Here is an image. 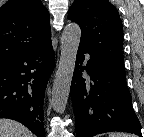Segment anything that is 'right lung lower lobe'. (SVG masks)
I'll use <instances>...</instances> for the list:
<instances>
[{"label": "right lung lower lobe", "instance_id": "98d812e1", "mask_svg": "<svg viewBox=\"0 0 144 137\" xmlns=\"http://www.w3.org/2000/svg\"><path fill=\"white\" fill-rule=\"evenodd\" d=\"M53 68L51 39L0 66V118L19 121L44 137L43 100Z\"/></svg>", "mask_w": 144, "mask_h": 137}]
</instances>
